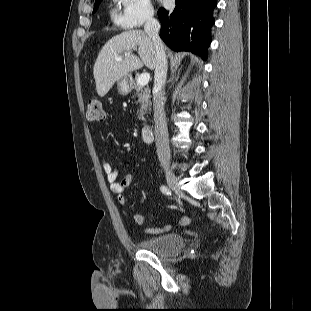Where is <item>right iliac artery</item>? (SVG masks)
Returning a JSON list of instances; mask_svg holds the SVG:
<instances>
[{"mask_svg":"<svg viewBox=\"0 0 311 311\" xmlns=\"http://www.w3.org/2000/svg\"><path fill=\"white\" fill-rule=\"evenodd\" d=\"M160 190H161V192H162L163 194H165V195H171L170 189H169L167 186H165V185H162V186L160 187Z\"/></svg>","mask_w":311,"mask_h":311,"instance_id":"obj_1","label":"right iliac artery"}]
</instances>
